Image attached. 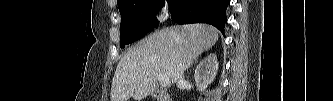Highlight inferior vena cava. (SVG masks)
Segmentation results:
<instances>
[{
    "instance_id": "inferior-vena-cava-1",
    "label": "inferior vena cava",
    "mask_w": 333,
    "mask_h": 101,
    "mask_svg": "<svg viewBox=\"0 0 333 101\" xmlns=\"http://www.w3.org/2000/svg\"><path fill=\"white\" fill-rule=\"evenodd\" d=\"M184 82H185L184 75H183V73H181L179 78H178L177 86L180 88L184 84Z\"/></svg>"
}]
</instances>
